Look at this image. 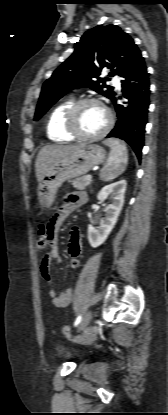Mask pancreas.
Wrapping results in <instances>:
<instances>
[{"label":"pancreas","mask_w":168,"mask_h":415,"mask_svg":"<svg viewBox=\"0 0 168 415\" xmlns=\"http://www.w3.org/2000/svg\"><path fill=\"white\" fill-rule=\"evenodd\" d=\"M71 183L76 190H85L91 184V180H86V176H83L71 181Z\"/></svg>","instance_id":"obj_1"}]
</instances>
